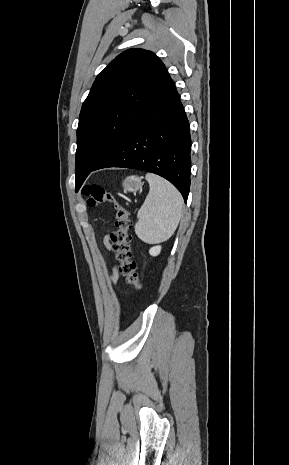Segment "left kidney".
<instances>
[{
  "label": "left kidney",
  "mask_w": 289,
  "mask_h": 465,
  "mask_svg": "<svg viewBox=\"0 0 289 465\" xmlns=\"http://www.w3.org/2000/svg\"><path fill=\"white\" fill-rule=\"evenodd\" d=\"M160 252H161V246H154V247L150 248V250H149V254L151 256H157V255L160 254Z\"/></svg>",
  "instance_id": "1"
}]
</instances>
